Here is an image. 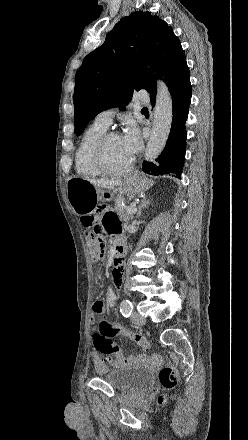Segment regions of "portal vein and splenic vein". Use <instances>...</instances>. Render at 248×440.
<instances>
[{
  "label": "portal vein and splenic vein",
  "mask_w": 248,
  "mask_h": 440,
  "mask_svg": "<svg viewBox=\"0 0 248 440\" xmlns=\"http://www.w3.org/2000/svg\"><path fill=\"white\" fill-rule=\"evenodd\" d=\"M126 208H127L128 213H130V214H134L137 210L136 204H131L129 207H126Z\"/></svg>",
  "instance_id": "1"
}]
</instances>
